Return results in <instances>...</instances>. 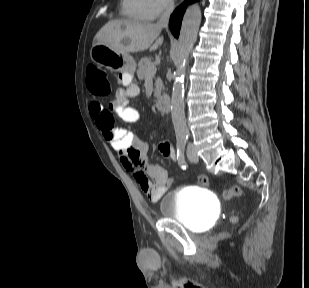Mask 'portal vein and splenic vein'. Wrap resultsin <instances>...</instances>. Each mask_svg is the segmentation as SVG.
Returning <instances> with one entry per match:
<instances>
[{
  "label": "portal vein and splenic vein",
  "instance_id": "portal-vein-and-splenic-vein-1",
  "mask_svg": "<svg viewBox=\"0 0 309 288\" xmlns=\"http://www.w3.org/2000/svg\"><path fill=\"white\" fill-rule=\"evenodd\" d=\"M156 67L155 66H152L148 69L147 71V75H153L154 73H156Z\"/></svg>",
  "mask_w": 309,
  "mask_h": 288
}]
</instances>
